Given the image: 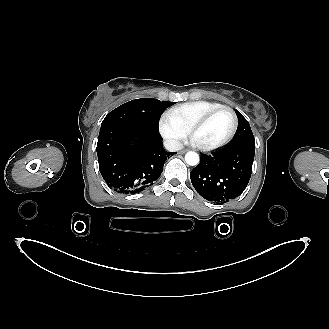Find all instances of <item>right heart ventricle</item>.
<instances>
[{"label": "right heart ventricle", "mask_w": 329, "mask_h": 329, "mask_svg": "<svg viewBox=\"0 0 329 329\" xmlns=\"http://www.w3.org/2000/svg\"><path fill=\"white\" fill-rule=\"evenodd\" d=\"M223 106L213 101H193L171 108L167 115L180 125L186 132L190 127L210 111Z\"/></svg>", "instance_id": "1"}]
</instances>
